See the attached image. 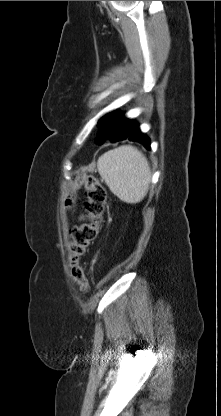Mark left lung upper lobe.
<instances>
[{
	"label": "left lung upper lobe",
	"mask_w": 221,
	"mask_h": 416,
	"mask_svg": "<svg viewBox=\"0 0 221 416\" xmlns=\"http://www.w3.org/2000/svg\"><path fill=\"white\" fill-rule=\"evenodd\" d=\"M132 125L133 121L126 119L123 114L109 113L98 121L97 142L102 143L106 139L118 141L128 135Z\"/></svg>",
	"instance_id": "1"
}]
</instances>
